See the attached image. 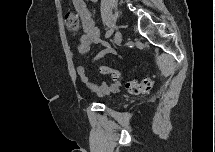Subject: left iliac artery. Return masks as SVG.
Here are the masks:
<instances>
[{
    "mask_svg": "<svg viewBox=\"0 0 215 152\" xmlns=\"http://www.w3.org/2000/svg\"><path fill=\"white\" fill-rule=\"evenodd\" d=\"M112 33H113V30H112V29L108 30V31L106 32V34H105V37H106V38L110 37V36L112 35Z\"/></svg>",
    "mask_w": 215,
    "mask_h": 152,
    "instance_id": "left-iliac-artery-1",
    "label": "left iliac artery"
}]
</instances>
